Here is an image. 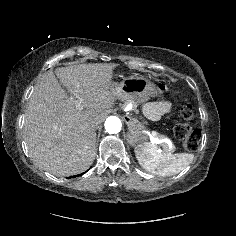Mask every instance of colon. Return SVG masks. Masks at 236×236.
Listing matches in <instances>:
<instances>
[{"mask_svg":"<svg viewBox=\"0 0 236 236\" xmlns=\"http://www.w3.org/2000/svg\"><path fill=\"white\" fill-rule=\"evenodd\" d=\"M181 120L175 125L174 134L183 142L186 150L193 152L199 147L201 132L195 127L196 114L191 104L185 103L180 111Z\"/></svg>","mask_w":236,"mask_h":236,"instance_id":"obj_1","label":"colon"}]
</instances>
